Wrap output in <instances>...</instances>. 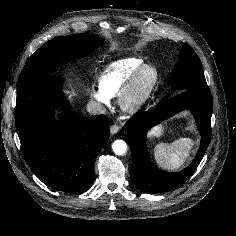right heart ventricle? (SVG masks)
Wrapping results in <instances>:
<instances>
[{
    "label": "right heart ventricle",
    "mask_w": 236,
    "mask_h": 236,
    "mask_svg": "<svg viewBox=\"0 0 236 236\" xmlns=\"http://www.w3.org/2000/svg\"><path fill=\"white\" fill-rule=\"evenodd\" d=\"M143 64L144 60L137 57L124 58L109 64L99 76V87L109 97L119 96L130 76Z\"/></svg>",
    "instance_id": "obj_1"
}]
</instances>
